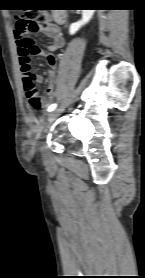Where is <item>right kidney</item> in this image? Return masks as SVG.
<instances>
[{
    "instance_id": "right-kidney-1",
    "label": "right kidney",
    "mask_w": 145,
    "mask_h": 278,
    "mask_svg": "<svg viewBox=\"0 0 145 278\" xmlns=\"http://www.w3.org/2000/svg\"><path fill=\"white\" fill-rule=\"evenodd\" d=\"M95 10H82V19L78 22L72 23L69 27L70 35L75 34L83 25L88 23L92 18Z\"/></svg>"
}]
</instances>
